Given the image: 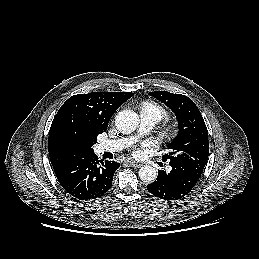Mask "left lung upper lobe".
Returning a JSON list of instances; mask_svg holds the SVG:
<instances>
[{
  "label": "left lung upper lobe",
  "mask_w": 259,
  "mask_h": 259,
  "mask_svg": "<svg viewBox=\"0 0 259 259\" xmlns=\"http://www.w3.org/2000/svg\"><path fill=\"white\" fill-rule=\"evenodd\" d=\"M148 94L169 107L178 120V135L168 147L171 152L163 155L162 160L184 166L200 177L209 156V142L208 130L198 107L182 94L166 91Z\"/></svg>",
  "instance_id": "5c2ea615"
}]
</instances>
